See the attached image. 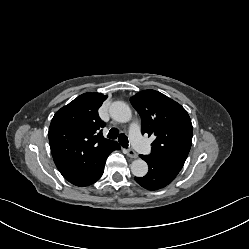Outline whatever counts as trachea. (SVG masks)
<instances>
[{
  "label": "trachea",
  "instance_id": "3493384b",
  "mask_svg": "<svg viewBox=\"0 0 249 249\" xmlns=\"http://www.w3.org/2000/svg\"><path fill=\"white\" fill-rule=\"evenodd\" d=\"M108 138L110 139H117L118 138V141L120 143V145L124 148H128V138L125 134L123 133H119L118 129L116 128H112L110 129L108 135H107Z\"/></svg>",
  "mask_w": 249,
  "mask_h": 249
}]
</instances>
